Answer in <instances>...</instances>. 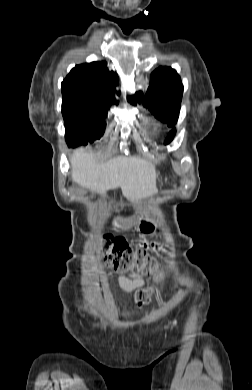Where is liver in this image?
I'll use <instances>...</instances> for the list:
<instances>
[{
	"label": "liver",
	"mask_w": 252,
	"mask_h": 390,
	"mask_svg": "<svg viewBox=\"0 0 252 390\" xmlns=\"http://www.w3.org/2000/svg\"><path fill=\"white\" fill-rule=\"evenodd\" d=\"M72 180L100 195L120 187L129 199L153 193L155 178L149 162L139 156H117L104 163L90 150L76 149L70 157Z\"/></svg>",
	"instance_id": "obj_1"
}]
</instances>
